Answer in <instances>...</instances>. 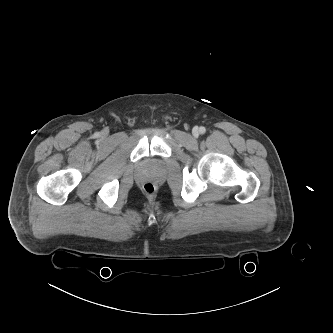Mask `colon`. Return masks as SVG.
Segmentation results:
<instances>
[{"label": "colon", "instance_id": "1", "mask_svg": "<svg viewBox=\"0 0 333 333\" xmlns=\"http://www.w3.org/2000/svg\"><path fill=\"white\" fill-rule=\"evenodd\" d=\"M143 190L147 195L151 196V195L154 194L156 189H155V186H154L153 183L147 182V183L144 184Z\"/></svg>", "mask_w": 333, "mask_h": 333}]
</instances>
